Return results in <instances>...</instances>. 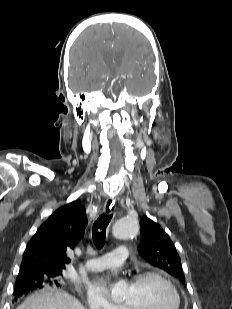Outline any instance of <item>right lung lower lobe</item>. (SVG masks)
Wrapping results in <instances>:
<instances>
[{
	"mask_svg": "<svg viewBox=\"0 0 232 309\" xmlns=\"http://www.w3.org/2000/svg\"><path fill=\"white\" fill-rule=\"evenodd\" d=\"M37 288H41V287L39 286V284L37 283L36 280H32L25 285L16 286L15 289H14L15 299L22 296V295L28 294L29 292H31V291H33Z\"/></svg>",
	"mask_w": 232,
	"mask_h": 309,
	"instance_id": "obj_1",
	"label": "right lung lower lobe"
}]
</instances>
